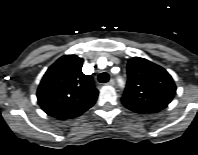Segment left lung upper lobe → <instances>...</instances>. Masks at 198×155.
Masks as SVG:
<instances>
[{"instance_id":"obj_1","label":"left lung upper lobe","mask_w":198,"mask_h":155,"mask_svg":"<svg viewBox=\"0 0 198 155\" xmlns=\"http://www.w3.org/2000/svg\"><path fill=\"white\" fill-rule=\"evenodd\" d=\"M123 105L137 113H152L168 106L176 94L171 75L147 59L134 57L127 65Z\"/></svg>"}]
</instances>
